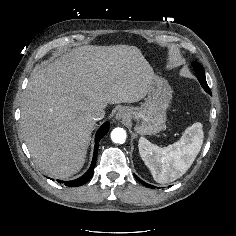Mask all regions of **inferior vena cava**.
<instances>
[{
	"instance_id": "602c4592",
	"label": "inferior vena cava",
	"mask_w": 236,
	"mask_h": 236,
	"mask_svg": "<svg viewBox=\"0 0 236 236\" xmlns=\"http://www.w3.org/2000/svg\"><path fill=\"white\" fill-rule=\"evenodd\" d=\"M104 116H105V111L103 108L96 107L90 111V117L95 121L103 119Z\"/></svg>"
}]
</instances>
